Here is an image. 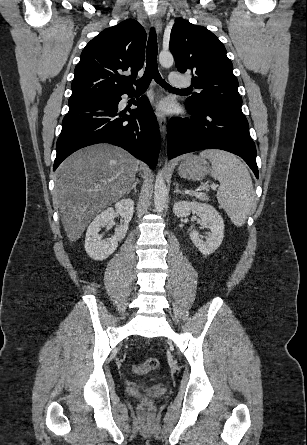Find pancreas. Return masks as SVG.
Masks as SVG:
<instances>
[{
    "label": "pancreas",
    "mask_w": 307,
    "mask_h": 445,
    "mask_svg": "<svg viewBox=\"0 0 307 445\" xmlns=\"http://www.w3.org/2000/svg\"><path fill=\"white\" fill-rule=\"evenodd\" d=\"M200 200H209V196H199Z\"/></svg>",
    "instance_id": "pancreas-1"
}]
</instances>
